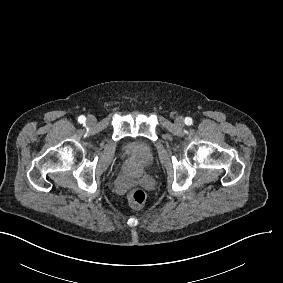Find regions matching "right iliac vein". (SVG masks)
Listing matches in <instances>:
<instances>
[{
  "mask_svg": "<svg viewBox=\"0 0 283 283\" xmlns=\"http://www.w3.org/2000/svg\"><path fill=\"white\" fill-rule=\"evenodd\" d=\"M87 124L88 125H93L96 123V118L92 115L88 116L87 117V120H86Z\"/></svg>",
  "mask_w": 283,
  "mask_h": 283,
  "instance_id": "right-iliac-vein-1",
  "label": "right iliac vein"
}]
</instances>
